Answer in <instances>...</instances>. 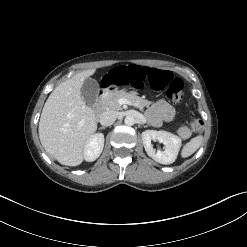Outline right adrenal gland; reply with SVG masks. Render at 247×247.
I'll use <instances>...</instances> for the list:
<instances>
[{
    "label": "right adrenal gland",
    "instance_id": "1",
    "mask_svg": "<svg viewBox=\"0 0 247 247\" xmlns=\"http://www.w3.org/2000/svg\"><path fill=\"white\" fill-rule=\"evenodd\" d=\"M100 129H105V127H100Z\"/></svg>",
    "mask_w": 247,
    "mask_h": 247
}]
</instances>
